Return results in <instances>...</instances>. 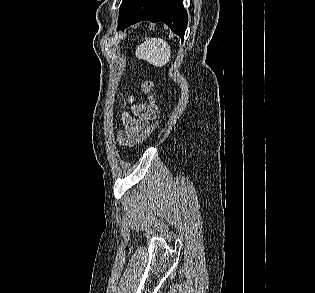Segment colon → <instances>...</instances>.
I'll return each mask as SVG.
<instances>
[{
    "label": "colon",
    "mask_w": 315,
    "mask_h": 293,
    "mask_svg": "<svg viewBox=\"0 0 315 293\" xmlns=\"http://www.w3.org/2000/svg\"><path fill=\"white\" fill-rule=\"evenodd\" d=\"M142 89L145 94L148 95L149 103H150V109L153 114V118L149 119V126L147 127L144 137H148L154 130L155 127L159 126V121L157 118H155L157 114V105L156 100L153 95V89H154V83L151 79H146L142 84Z\"/></svg>",
    "instance_id": "1"
}]
</instances>
